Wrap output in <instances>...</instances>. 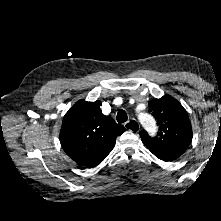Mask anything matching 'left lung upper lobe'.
<instances>
[{"mask_svg":"<svg viewBox=\"0 0 221 221\" xmlns=\"http://www.w3.org/2000/svg\"><path fill=\"white\" fill-rule=\"evenodd\" d=\"M149 106L159 125L155 137H150L144 130L140 133L142 142L149 150L171 152L187 148L193 135L188 114L183 106L169 95L149 101Z\"/></svg>","mask_w":221,"mask_h":221,"instance_id":"1","label":"left lung upper lobe"}]
</instances>
